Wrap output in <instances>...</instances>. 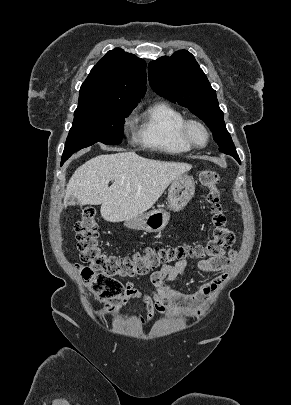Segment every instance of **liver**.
Wrapping results in <instances>:
<instances>
[{"label":"liver","mask_w":291,"mask_h":405,"mask_svg":"<svg viewBox=\"0 0 291 405\" xmlns=\"http://www.w3.org/2000/svg\"><path fill=\"white\" fill-rule=\"evenodd\" d=\"M190 169L186 163L151 160L135 152L99 155L76 169L66 187L64 207L72 197L81 206L101 204L106 221L131 220L150 209L169 184Z\"/></svg>","instance_id":"obj_1"}]
</instances>
